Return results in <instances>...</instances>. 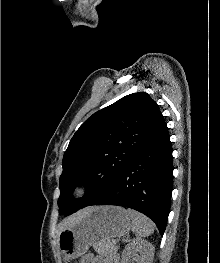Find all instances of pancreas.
<instances>
[{
    "mask_svg": "<svg viewBox=\"0 0 220 263\" xmlns=\"http://www.w3.org/2000/svg\"><path fill=\"white\" fill-rule=\"evenodd\" d=\"M117 247L115 246V242H109L106 244H103L100 248L99 251L101 252V254L103 255H108L110 254L112 251L116 250Z\"/></svg>",
    "mask_w": 220,
    "mask_h": 263,
    "instance_id": "cf45deb5",
    "label": "pancreas"
}]
</instances>
